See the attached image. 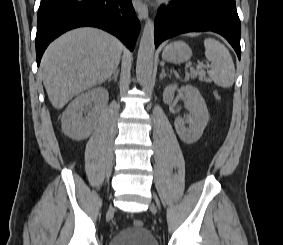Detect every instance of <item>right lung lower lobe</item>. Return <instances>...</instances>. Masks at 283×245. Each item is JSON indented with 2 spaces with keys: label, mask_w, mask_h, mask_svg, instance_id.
Listing matches in <instances>:
<instances>
[{
  "label": "right lung lower lobe",
  "mask_w": 283,
  "mask_h": 245,
  "mask_svg": "<svg viewBox=\"0 0 283 245\" xmlns=\"http://www.w3.org/2000/svg\"><path fill=\"white\" fill-rule=\"evenodd\" d=\"M80 26L106 30L130 50L140 30L131 0H41L36 34L37 65L51 41Z\"/></svg>",
  "instance_id": "right-lung-lower-lobe-1"
}]
</instances>
